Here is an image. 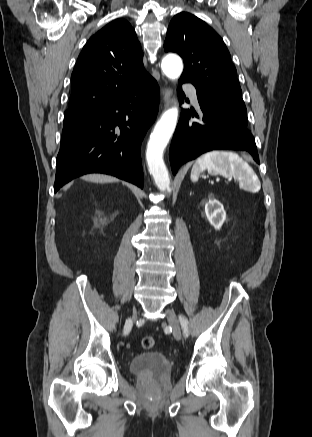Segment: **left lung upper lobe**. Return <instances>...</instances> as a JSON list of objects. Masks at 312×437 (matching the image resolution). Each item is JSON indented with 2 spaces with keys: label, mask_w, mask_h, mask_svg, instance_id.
Listing matches in <instances>:
<instances>
[{
  "label": "left lung upper lobe",
  "mask_w": 312,
  "mask_h": 437,
  "mask_svg": "<svg viewBox=\"0 0 312 437\" xmlns=\"http://www.w3.org/2000/svg\"><path fill=\"white\" fill-rule=\"evenodd\" d=\"M164 50L183 58L180 80L191 82L197 97L224 106L247 127L236 68L222 38L211 27L194 15L181 12L169 24Z\"/></svg>",
  "instance_id": "left-lung-upper-lobe-1"
}]
</instances>
